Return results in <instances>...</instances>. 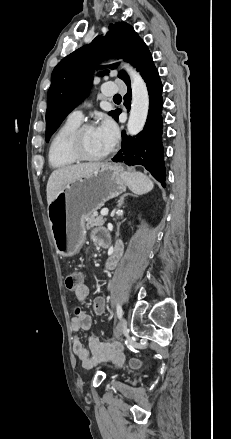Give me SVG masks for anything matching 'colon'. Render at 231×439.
<instances>
[{"label": "colon", "instance_id": "obj_1", "mask_svg": "<svg viewBox=\"0 0 231 439\" xmlns=\"http://www.w3.org/2000/svg\"><path fill=\"white\" fill-rule=\"evenodd\" d=\"M78 283H87L85 282L82 268H71V270H67L65 284L68 289H71L72 295H76L75 287ZM130 365L133 368H138L141 366V360L137 357H133L130 359Z\"/></svg>", "mask_w": 231, "mask_h": 439}]
</instances>
